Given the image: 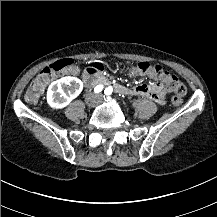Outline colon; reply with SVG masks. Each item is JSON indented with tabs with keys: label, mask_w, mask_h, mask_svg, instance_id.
I'll list each match as a JSON object with an SVG mask.
<instances>
[{
	"label": "colon",
	"mask_w": 217,
	"mask_h": 217,
	"mask_svg": "<svg viewBox=\"0 0 217 217\" xmlns=\"http://www.w3.org/2000/svg\"><path fill=\"white\" fill-rule=\"evenodd\" d=\"M82 68L79 58L71 56L59 62L40 69L37 79L33 80L27 88L24 98L29 105H34L39 101L43 89L50 85L51 81L67 73L76 74ZM133 76H148L154 81L167 86L172 92L176 91L179 95H186L188 87L174 74L160 67H150L147 62H140L133 65L131 70ZM173 104L182 103L183 99L172 94Z\"/></svg>",
	"instance_id": "5ec220e1"
}]
</instances>
